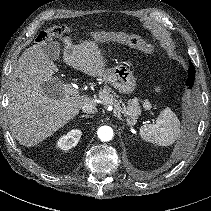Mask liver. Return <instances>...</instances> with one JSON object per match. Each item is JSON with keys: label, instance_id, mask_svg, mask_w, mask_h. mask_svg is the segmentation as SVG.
Returning a JSON list of instances; mask_svg holds the SVG:
<instances>
[{"label": "liver", "instance_id": "liver-1", "mask_svg": "<svg viewBox=\"0 0 211 211\" xmlns=\"http://www.w3.org/2000/svg\"><path fill=\"white\" fill-rule=\"evenodd\" d=\"M84 41L81 47L72 43L69 36L64 42V62L85 74L107 81L105 59L97 39ZM45 43L26 49L18 59L11 75L8 114L11 128L21 145L34 146L51 136L73 119L86 103L92 102L88 95L70 96L62 85L56 93L54 81L58 67L44 52Z\"/></svg>", "mask_w": 211, "mask_h": 211}]
</instances>
